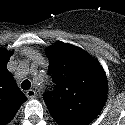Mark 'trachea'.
<instances>
[{"mask_svg":"<svg viewBox=\"0 0 125 125\" xmlns=\"http://www.w3.org/2000/svg\"><path fill=\"white\" fill-rule=\"evenodd\" d=\"M30 87H31V82L27 79L21 83V88L23 90H28Z\"/></svg>","mask_w":125,"mask_h":125,"instance_id":"3493384b","label":"trachea"}]
</instances>
